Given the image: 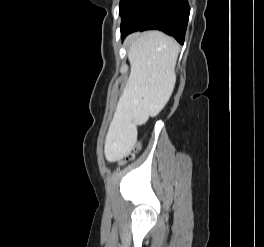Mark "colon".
Masks as SVG:
<instances>
[{
	"mask_svg": "<svg viewBox=\"0 0 264 247\" xmlns=\"http://www.w3.org/2000/svg\"><path fill=\"white\" fill-rule=\"evenodd\" d=\"M133 154L128 155L124 160L123 163H126L128 160L132 159Z\"/></svg>",
	"mask_w": 264,
	"mask_h": 247,
	"instance_id": "5ec220e1",
	"label": "colon"
}]
</instances>
